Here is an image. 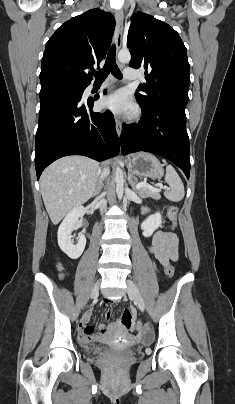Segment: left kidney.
Instances as JSON below:
<instances>
[{"label": "left kidney", "mask_w": 235, "mask_h": 404, "mask_svg": "<svg viewBox=\"0 0 235 404\" xmlns=\"http://www.w3.org/2000/svg\"><path fill=\"white\" fill-rule=\"evenodd\" d=\"M162 216L160 213H155L147 217L141 224V229L143 230L144 237H150L153 232L161 227Z\"/></svg>", "instance_id": "5707ae66"}]
</instances>
